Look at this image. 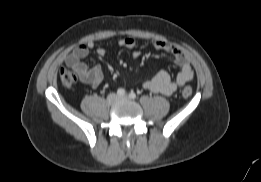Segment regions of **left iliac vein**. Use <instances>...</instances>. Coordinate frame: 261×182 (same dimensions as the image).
<instances>
[{
	"label": "left iliac vein",
	"mask_w": 261,
	"mask_h": 182,
	"mask_svg": "<svg viewBox=\"0 0 261 182\" xmlns=\"http://www.w3.org/2000/svg\"><path fill=\"white\" fill-rule=\"evenodd\" d=\"M127 98H128V96L125 95V96L119 97L118 100H125V99H127Z\"/></svg>",
	"instance_id": "obj_1"
}]
</instances>
